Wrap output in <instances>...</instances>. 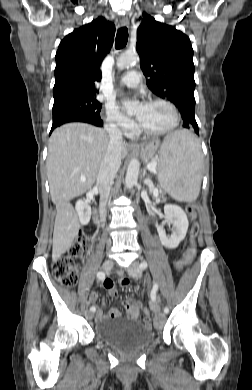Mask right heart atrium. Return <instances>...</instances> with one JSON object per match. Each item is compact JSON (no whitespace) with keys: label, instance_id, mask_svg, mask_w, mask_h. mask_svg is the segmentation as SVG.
I'll return each mask as SVG.
<instances>
[{"label":"right heart atrium","instance_id":"obj_1","mask_svg":"<svg viewBox=\"0 0 252 390\" xmlns=\"http://www.w3.org/2000/svg\"><path fill=\"white\" fill-rule=\"evenodd\" d=\"M105 116L108 125L119 133L129 136L135 131V123L124 115L114 103H107Z\"/></svg>","mask_w":252,"mask_h":390}]
</instances>
